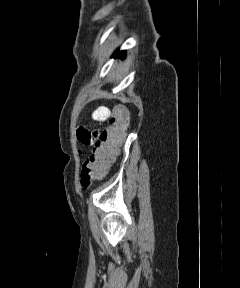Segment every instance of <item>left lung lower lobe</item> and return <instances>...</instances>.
Returning <instances> with one entry per match:
<instances>
[{"label": "left lung lower lobe", "instance_id": "obj_1", "mask_svg": "<svg viewBox=\"0 0 240 288\" xmlns=\"http://www.w3.org/2000/svg\"><path fill=\"white\" fill-rule=\"evenodd\" d=\"M114 57H121L123 58L124 55H125V52L124 51H121V52H118V50H116V52L114 53Z\"/></svg>", "mask_w": 240, "mask_h": 288}]
</instances>
